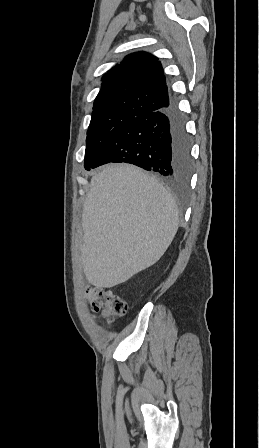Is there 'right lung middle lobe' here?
Instances as JSON below:
<instances>
[{"instance_id": "right-lung-middle-lobe-1", "label": "right lung middle lobe", "mask_w": 259, "mask_h": 448, "mask_svg": "<svg viewBox=\"0 0 259 448\" xmlns=\"http://www.w3.org/2000/svg\"><path fill=\"white\" fill-rule=\"evenodd\" d=\"M141 115L137 112L121 113H92V118L87 131L86 152L84 167L89 170L91 165L134 118Z\"/></svg>"}]
</instances>
